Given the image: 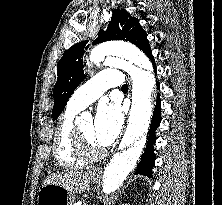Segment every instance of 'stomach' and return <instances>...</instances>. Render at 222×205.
<instances>
[{
	"instance_id": "obj_1",
	"label": "stomach",
	"mask_w": 222,
	"mask_h": 205,
	"mask_svg": "<svg viewBox=\"0 0 222 205\" xmlns=\"http://www.w3.org/2000/svg\"><path fill=\"white\" fill-rule=\"evenodd\" d=\"M97 180L95 174L92 175V181ZM37 205H73L72 194L57 184L43 185L38 193Z\"/></svg>"
}]
</instances>
